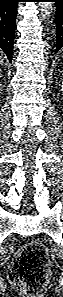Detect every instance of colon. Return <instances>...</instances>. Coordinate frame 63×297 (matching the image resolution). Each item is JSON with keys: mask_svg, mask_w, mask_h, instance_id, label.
I'll list each match as a JSON object with an SVG mask.
<instances>
[{"mask_svg": "<svg viewBox=\"0 0 63 297\" xmlns=\"http://www.w3.org/2000/svg\"><path fill=\"white\" fill-rule=\"evenodd\" d=\"M9 277L18 292L28 295L40 293L49 278L46 249L38 242L22 246L10 267Z\"/></svg>", "mask_w": 63, "mask_h": 297, "instance_id": "5ec220e1", "label": "colon"}]
</instances>
